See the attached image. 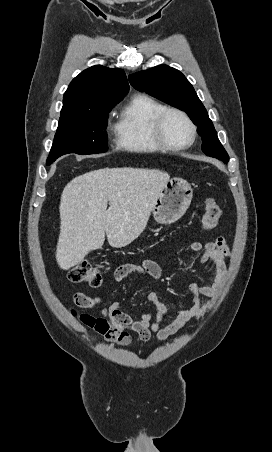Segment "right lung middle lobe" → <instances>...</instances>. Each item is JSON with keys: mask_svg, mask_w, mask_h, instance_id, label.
Here are the masks:
<instances>
[{"mask_svg": "<svg viewBox=\"0 0 272 452\" xmlns=\"http://www.w3.org/2000/svg\"><path fill=\"white\" fill-rule=\"evenodd\" d=\"M113 106L98 109L90 114L60 118L47 165L68 153L86 155L106 152L107 118Z\"/></svg>", "mask_w": 272, "mask_h": 452, "instance_id": "obj_1", "label": "right lung middle lobe"}]
</instances>
